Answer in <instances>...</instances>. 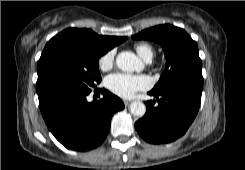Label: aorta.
Returning <instances> with one entry per match:
<instances>
[{
	"mask_svg": "<svg viewBox=\"0 0 245 170\" xmlns=\"http://www.w3.org/2000/svg\"><path fill=\"white\" fill-rule=\"evenodd\" d=\"M116 65L126 72L140 71L143 68L141 60L132 52L124 51L116 57ZM130 112L137 117L144 116L146 106L141 101H134L130 104Z\"/></svg>",
	"mask_w": 245,
	"mask_h": 170,
	"instance_id": "aorta-1",
	"label": "aorta"
}]
</instances>
